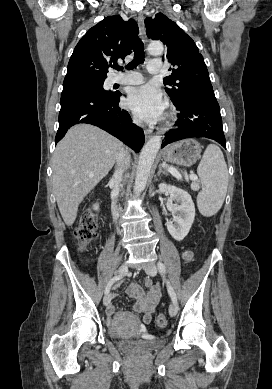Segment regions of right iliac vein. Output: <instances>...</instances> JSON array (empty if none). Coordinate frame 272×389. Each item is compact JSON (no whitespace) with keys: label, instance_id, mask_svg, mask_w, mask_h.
<instances>
[{"label":"right iliac vein","instance_id":"right-iliac-vein-1","mask_svg":"<svg viewBox=\"0 0 272 389\" xmlns=\"http://www.w3.org/2000/svg\"><path fill=\"white\" fill-rule=\"evenodd\" d=\"M128 272V265L127 264H123L121 265L118 270H117V276L119 277H123L124 275H126V273ZM110 295L107 294L104 296V299H103V303L105 306H108L110 304Z\"/></svg>","mask_w":272,"mask_h":389}]
</instances>
